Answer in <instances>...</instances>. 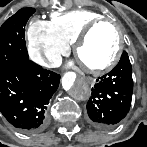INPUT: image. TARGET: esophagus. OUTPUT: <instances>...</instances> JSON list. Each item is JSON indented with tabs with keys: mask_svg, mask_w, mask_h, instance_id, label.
<instances>
[{
	"mask_svg": "<svg viewBox=\"0 0 147 147\" xmlns=\"http://www.w3.org/2000/svg\"><path fill=\"white\" fill-rule=\"evenodd\" d=\"M87 82H88L89 84H91V85L94 84V80H93L92 78H88V79H87Z\"/></svg>",
	"mask_w": 147,
	"mask_h": 147,
	"instance_id": "obj_1",
	"label": "esophagus"
}]
</instances>
